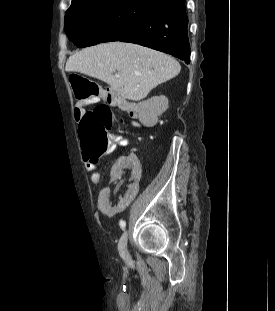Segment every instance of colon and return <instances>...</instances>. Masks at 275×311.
<instances>
[{
    "label": "colon",
    "instance_id": "5ec220e1",
    "mask_svg": "<svg viewBox=\"0 0 275 311\" xmlns=\"http://www.w3.org/2000/svg\"><path fill=\"white\" fill-rule=\"evenodd\" d=\"M70 82L74 92V99L84 104H99L103 97L108 102L110 100L119 103H127L128 107L135 111V106L122 99L121 96L113 91L102 90L95 82L79 74H71ZM140 117L145 124H152L153 117L140 113ZM80 139L85 149V155L98 159L113 151L110 131L113 127L124 124V118L117 114L108 103L99 104L93 110L84 112L80 119Z\"/></svg>",
    "mask_w": 275,
    "mask_h": 311
}]
</instances>
